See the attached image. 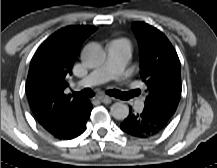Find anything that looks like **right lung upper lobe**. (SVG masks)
Instances as JSON below:
<instances>
[{"label":"right lung upper lobe","mask_w":217,"mask_h":168,"mask_svg":"<svg viewBox=\"0 0 217 168\" xmlns=\"http://www.w3.org/2000/svg\"><path fill=\"white\" fill-rule=\"evenodd\" d=\"M95 30L87 25L64 27L47 38L34 54L26 93L31 110L44 129L60 125L88 106L87 99H72L65 89L82 43Z\"/></svg>","instance_id":"1"}]
</instances>
